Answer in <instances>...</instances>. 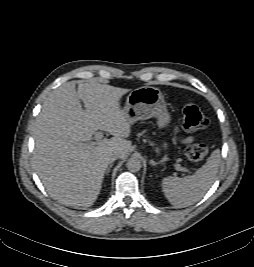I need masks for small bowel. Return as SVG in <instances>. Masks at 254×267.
I'll list each match as a JSON object with an SVG mask.
<instances>
[{
	"label": "small bowel",
	"instance_id": "c3829d8e",
	"mask_svg": "<svg viewBox=\"0 0 254 267\" xmlns=\"http://www.w3.org/2000/svg\"><path fill=\"white\" fill-rule=\"evenodd\" d=\"M181 141L183 143H189L191 141V139L190 138H185V139H182Z\"/></svg>",
	"mask_w": 254,
	"mask_h": 267
}]
</instances>
